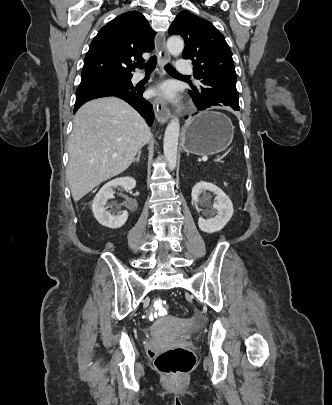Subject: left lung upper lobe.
<instances>
[{
    "label": "left lung upper lobe",
    "instance_id": "1",
    "mask_svg": "<svg viewBox=\"0 0 332 405\" xmlns=\"http://www.w3.org/2000/svg\"><path fill=\"white\" fill-rule=\"evenodd\" d=\"M168 33L185 40L183 59L192 61L194 77L200 82L189 91L207 109L226 106L240 110L232 52L224 36L209 21L181 11Z\"/></svg>",
    "mask_w": 332,
    "mask_h": 405
}]
</instances>
